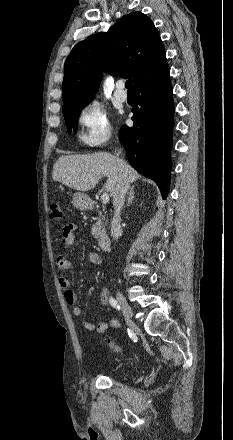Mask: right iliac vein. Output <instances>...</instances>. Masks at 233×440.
Returning <instances> with one entry per match:
<instances>
[{
    "label": "right iliac vein",
    "mask_w": 233,
    "mask_h": 440,
    "mask_svg": "<svg viewBox=\"0 0 233 440\" xmlns=\"http://www.w3.org/2000/svg\"><path fill=\"white\" fill-rule=\"evenodd\" d=\"M117 300L119 305L121 306V309L123 311L124 316L127 319H131L133 317V310L131 308V306L129 305V303L127 302V300L124 298V296L118 292L117 293Z\"/></svg>",
    "instance_id": "63e3f726"
}]
</instances>
